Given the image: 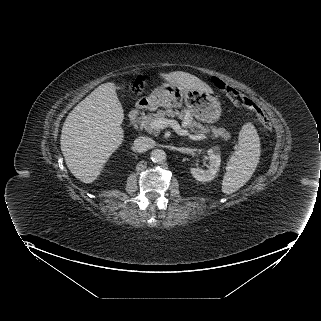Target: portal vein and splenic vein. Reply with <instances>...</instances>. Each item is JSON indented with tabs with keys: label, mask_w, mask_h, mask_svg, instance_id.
<instances>
[{
	"label": "portal vein and splenic vein",
	"mask_w": 321,
	"mask_h": 321,
	"mask_svg": "<svg viewBox=\"0 0 321 321\" xmlns=\"http://www.w3.org/2000/svg\"><path fill=\"white\" fill-rule=\"evenodd\" d=\"M150 126L153 129H164L166 127H171L172 129H174V131L178 135L187 136L191 140H201V139L206 138V136L204 134H199V135L191 134L188 130L182 129L177 121L171 120V119L160 118V119H157V120L151 122Z\"/></svg>",
	"instance_id": "portal-vein-and-splenic-vein-1"
}]
</instances>
